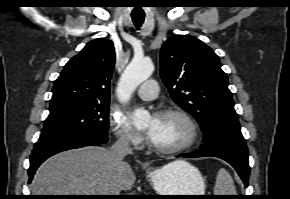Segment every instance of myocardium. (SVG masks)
Here are the masks:
<instances>
[{
    "label": "myocardium",
    "instance_id": "f54148a6",
    "mask_svg": "<svg viewBox=\"0 0 290 199\" xmlns=\"http://www.w3.org/2000/svg\"><path fill=\"white\" fill-rule=\"evenodd\" d=\"M156 116H178L182 120H184L190 129V136L187 142L183 145L175 147V148H162L155 145L151 140H149L150 148L163 155H179L187 152L190 150L199 140L200 137V130L196 120L185 110L172 107V108H165L157 112Z\"/></svg>",
    "mask_w": 290,
    "mask_h": 199
}]
</instances>
